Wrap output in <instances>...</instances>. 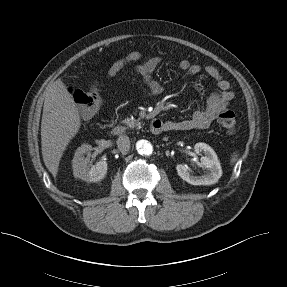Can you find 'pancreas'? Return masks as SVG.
<instances>
[{
  "instance_id": "1",
  "label": "pancreas",
  "mask_w": 287,
  "mask_h": 287,
  "mask_svg": "<svg viewBox=\"0 0 287 287\" xmlns=\"http://www.w3.org/2000/svg\"><path fill=\"white\" fill-rule=\"evenodd\" d=\"M121 122L130 128H135V127L138 129L141 128V123L138 120H135L133 117L126 118L125 120H122Z\"/></svg>"
}]
</instances>
